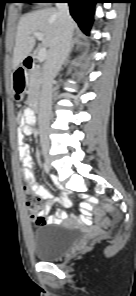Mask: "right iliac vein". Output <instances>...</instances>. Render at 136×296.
Instances as JSON below:
<instances>
[{
    "mask_svg": "<svg viewBox=\"0 0 136 296\" xmlns=\"http://www.w3.org/2000/svg\"><path fill=\"white\" fill-rule=\"evenodd\" d=\"M46 162L49 164L50 163V159H49V156L46 155Z\"/></svg>",
    "mask_w": 136,
    "mask_h": 296,
    "instance_id": "right-iliac-vein-1",
    "label": "right iliac vein"
}]
</instances>
